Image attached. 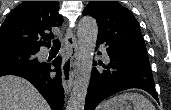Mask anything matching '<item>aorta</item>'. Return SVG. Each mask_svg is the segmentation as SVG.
I'll list each match as a JSON object with an SVG mask.
<instances>
[{"mask_svg":"<svg viewBox=\"0 0 171 110\" xmlns=\"http://www.w3.org/2000/svg\"><path fill=\"white\" fill-rule=\"evenodd\" d=\"M98 26L94 18L84 16L78 23L79 65L66 110H84L93 68Z\"/></svg>","mask_w":171,"mask_h":110,"instance_id":"obj_1","label":"aorta"}]
</instances>
